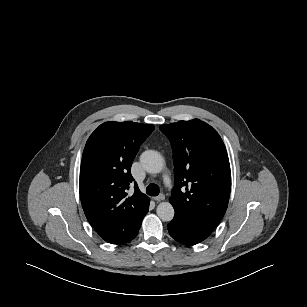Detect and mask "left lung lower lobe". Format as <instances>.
Wrapping results in <instances>:
<instances>
[{
	"mask_svg": "<svg viewBox=\"0 0 307 307\" xmlns=\"http://www.w3.org/2000/svg\"><path fill=\"white\" fill-rule=\"evenodd\" d=\"M167 228L171 237L184 245H195L208 237V235L188 225L179 216H175L167 225Z\"/></svg>",
	"mask_w": 307,
	"mask_h": 307,
	"instance_id": "1",
	"label": "left lung lower lobe"
}]
</instances>
